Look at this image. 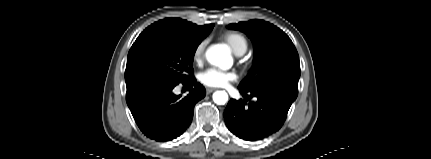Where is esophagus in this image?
I'll use <instances>...</instances> for the list:
<instances>
[{
	"instance_id": "obj_1",
	"label": "esophagus",
	"mask_w": 431,
	"mask_h": 159,
	"mask_svg": "<svg viewBox=\"0 0 431 159\" xmlns=\"http://www.w3.org/2000/svg\"><path fill=\"white\" fill-rule=\"evenodd\" d=\"M213 91H215V88H206V92L207 94L212 93Z\"/></svg>"
}]
</instances>
